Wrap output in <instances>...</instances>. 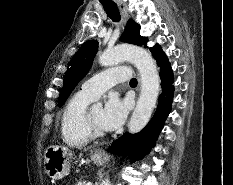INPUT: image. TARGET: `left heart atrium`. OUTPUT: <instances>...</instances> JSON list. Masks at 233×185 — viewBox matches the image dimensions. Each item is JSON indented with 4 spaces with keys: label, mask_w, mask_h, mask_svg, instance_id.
Segmentation results:
<instances>
[{
    "label": "left heart atrium",
    "mask_w": 233,
    "mask_h": 185,
    "mask_svg": "<svg viewBox=\"0 0 233 185\" xmlns=\"http://www.w3.org/2000/svg\"><path fill=\"white\" fill-rule=\"evenodd\" d=\"M128 112V102L111 96L102 109L101 124L104 130L112 131L120 127Z\"/></svg>",
    "instance_id": "1"
}]
</instances>
